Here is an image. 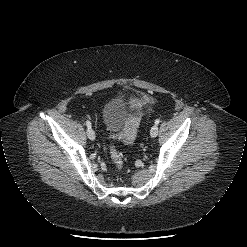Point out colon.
I'll return each instance as SVG.
<instances>
[{"instance_id":"colon-1","label":"colon","mask_w":247,"mask_h":247,"mask_svg":"<svg viewBox=\"0 0 247 247\" xmlns=\"http://www.w3.org/2000/svg\"><path fill=\"white\" fill-rule=\"evenodd\" d=\"M110 156L115 167L118 170H121L124 165L123 157L114 144H111L110 146Z\"/></svg>"}]
</instances>
